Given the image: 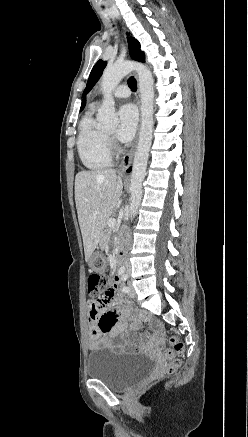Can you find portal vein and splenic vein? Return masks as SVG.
Listing matches in <instances>:
<instances>
[{
	"instance_id": "obj_1",
	"label": "portal vein and splenic vein",
	"mask_w": 248,
	"mask_h": 437,
	"mask_svg": "<svg viewBox=\"0 0 248 437\" xmlns=\"http://www.w3.org/2000/svg\"><path fill=\"white\" fill-rule=\"evenodd\" d=\"M107 224H108V226L111 228V227H114L115 225H116V219L115 218H110L108 221H107Z\"/></svg>"
}]
</instances>
